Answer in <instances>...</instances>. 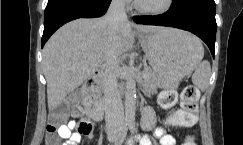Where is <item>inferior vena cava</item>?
I'll return each mask as SVG.
<instances>
[{
  "label": "inferior vena cava",
  "mask_w": 243,
  "mask_h": 145,
  "mask_svg": "<svg viewBox=\"0 0 243 145\" xmlns=\"http://www.w3.org/2000/svg\"><path fill=\"white\" fill-rule=\"evenodd\" d=\"M105 19L112 33L115 34L119 25L128 21L125 12V0H112ZM117 75V57L113 53H110L105 60V71L103 75L106 119H110L114 116L119 119L123 113V105L118 90Z\"/></svg>",
  "instance_id": "1"
}]
</instances>
